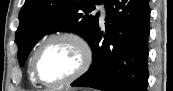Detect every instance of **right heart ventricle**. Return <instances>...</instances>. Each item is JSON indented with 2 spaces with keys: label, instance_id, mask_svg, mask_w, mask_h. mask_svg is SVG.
<instances>
[{
  "label": "right heart ventricle",
  "instance_id": "right-heart-ventricle-1",
  "mask_svg": "<svg viewBox=\"0 0 173 91\" xmlns=\"http://www.w3.org/2000/svg\"><path fill=\"white\" fill-rule=\"evenodd\" d=\"M30 79H31L32 81H35L34 78H33V75H32V70H30Z\"/></svg>",
  "mask_w": 173,
  "mask_h": 91
}]
</instances>
